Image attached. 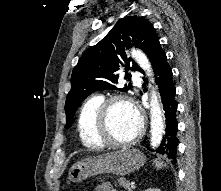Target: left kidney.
<instances>
[{"label": "left kidney", "mask_w": 221, "mask_h": 191, "mask_svg": "<svg viewBox=\"0 0 221 191\" xmlns=\"http://www.w3.org/2000/svg\"><path fill=\"white\" fill-rule=\"evenodd\" d=\"M145 191H160V190L157 189V188H149V189H147V190H145Z\"/></svg>", "instance_id": "left-kidney-1"}]
</instances>
